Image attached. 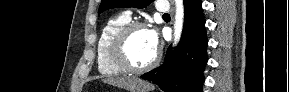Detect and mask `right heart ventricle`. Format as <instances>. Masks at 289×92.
<instances>
[{
	"mask_svg": "<svg viewBox=\"0 0 289 92\" xmlns=\"http://www.w3.org/2000/svg\"><path fill=\"white\" fill-rule=\"evenodd\" d=\"M128 22L130 17L120 14L110 18L103 26L97 42V67L100 74L115 76L125 71L115 65L111 58L110 46L115 34Z\"/></svg>",
	"mask_w": 289,
	"mask_h": 92,
	"instance_id": "1",
	"label": "right heart ventricle"
}]
</instances>
